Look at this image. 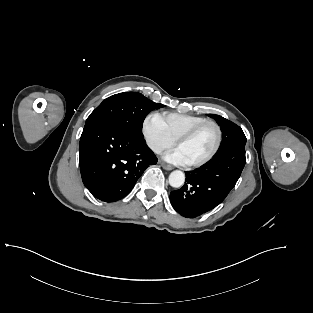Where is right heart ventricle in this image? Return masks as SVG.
<instances>
[{
    "label": "right heart ventricle",
    "instance_id": "obj_1",
    "mask_svg": "<svg viewBox=\"0 0 313 313\" xmlns=\"http://www.w3.org/2000/svg\"><path fill=\"white\" fill-rule=\"evenodd\" d=\"M160 116L168 133L174 140H176L180 135L192 127L207 120V118L202 116L181 114L176 112H165Z\"/></svg>",
    "mask_w": 313,
    "mask_h": 313
}]
</instances>
